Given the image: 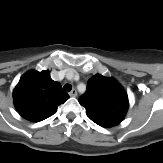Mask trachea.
I'll return each instance as SVG.
<instances>
[{
  "instance_id": "3493384b",
  "label": "trachea",
  "mask_w": 163,
  "mask_h": 163,
  "mask_svg": "<svg viewBox=\"0 0 163 163\" xmlns=\"http://www.w3.org/2000/svg\"><path fill=\"white\" fill-rule=\"evenodd\" d=\"M63 90H64V91L70 92V91L72 90V86H71L70 84H65V85L63 86Z\"/></svg>"
}]
</instances>
